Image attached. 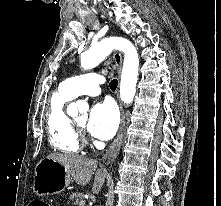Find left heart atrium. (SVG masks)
<instances>
[{
	"mask_svg": "<svg viewBox=\"0 0 221 206\" xmlns=\"http://www.w3.org/2000/svg\"><path fill=\"white\" fill-rule=\"evenodd\" d=\"M118 125L119 113L112 102L97 103L90 110L87 129L94 137L109 139L115 134Z\"/></svg>",
	"mask_w": 221,
	"mask_h": 206,
	"instance_id": "obj_1",
	"label": "left heart atrium"
}]
</instances>
